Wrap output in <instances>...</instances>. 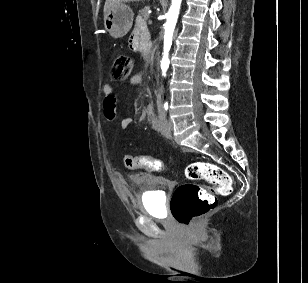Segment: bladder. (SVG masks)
Returning a JSON list of instances; mask_svg holds the SVG:
<instances>
[{"mask_svg": "<svg viewBox=\"0 0 308 283\" xmlns=\"http://www.w3.org/2000/svg\"><path fill=\"white\" fill-rule=\"evenodd\" d=\"M142 212L154 218H163L165 200L162 191L159 189H146L140 198Z\"/></svg>", "mask_w": 308, "mask_h": 283, "instance_id": "31cf9c89", "label": "bladder"}]
</instances>
